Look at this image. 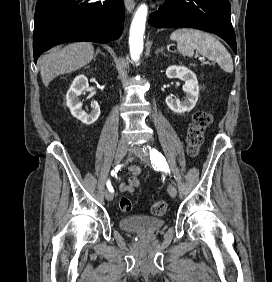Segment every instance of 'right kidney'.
Here are the masks:
<instances>
[{
	"label": "right kidney",
	"instance_id": "ca27d5eb",
	"mask_svg": "<svg viewBox=\"0 0 272 282\" xmlns=\"http://www.w3.org/2000/svg\"><path fill=\"white\" fill-rule=\"evenodd\" d=\"M88 86V79L85 75L81 74L76 76L66 94V105L70 109L72 116L80 120L83 124L91 125L100 116V106L96 101L92 102V110L89 114H86L82 109V103L78 100V96H80Z\"/></svg>",
	"mask_w": 272,
	"mask_h": 282
}]
</instances>
